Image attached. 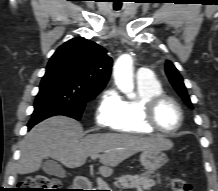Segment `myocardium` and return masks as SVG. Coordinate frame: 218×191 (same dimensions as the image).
I'll use <instances>...</instances> for the list:
<instances>
[{
	"mask_svg": "<svg viewBox=\"0 0 218 191\" xmlns=\"http://www.w3.org/2000/svg\"><path fill=\"white\" fill-rule=\"evenodd\" d=\"M164 101H169L171 102L178 110L179 112V124L176 128L172 130H166L161 128L156 120V111L158 106L164 102ZM143 120L145 124L151 128L152 130L166 134V135H172L177 133L183 126L184 123V110L181 106V104L173 97L166 95L164 93L156 94L153 95L149 98H147L144 103H143Z\"/></svg>",
	"mask_w": 218,
	"mask_h": 191,
	"instance_id": "1",
	"label": "myocardium"
}]
</instances>
